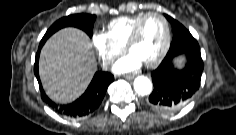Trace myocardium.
<instances>
[{
  "label": "myocardium",
  "mask_w": 236,
  "mask_h": 135,
  "mask_svg": "<svg viewBox=\"0 0 236 135\" xmlns=\"http://www.w3.org/2000/svg\"><path fill=\"white\" fill-rule=\"evenodd\" d=\"M150 16H157L158 18H160L162 20V22L164 24V28H165V40H164V44H163V47H162L160 53L154 59L144 62V64L146 66L152 67V66L158 65L164 59V57L166 56V54L169 50L170 43H171L170 26H169L167 19L162 14H160L158 12L145 13L138 20V22L135 24V26H134L125 46H124V49L126 52H130L131 48L135 45V43L139 39L143 22L145 21V19H147Z\"/></svg>",
  "instance_id": "myocardium-1"
}]
</instances>
